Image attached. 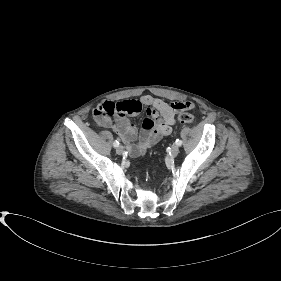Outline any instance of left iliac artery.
Masks as SVG:
<instances>
[{
	"label": "left iliac artery",
	"mask_w": 281,
	"mask_h": 281,
	"mask_svg": "<svg viewBox=\"0 0 281 281\" xmlns=\"http://www.w3.org/2000/svg\"><path fill=\"white\" fill-rule=\"evenodd\" d=\"M175 144L178 145V146H181V145H182V141L179 140V139H177V140L175 141Z\"/></svg>",
	"instance_id": "44dca946"
}]
</instances>
